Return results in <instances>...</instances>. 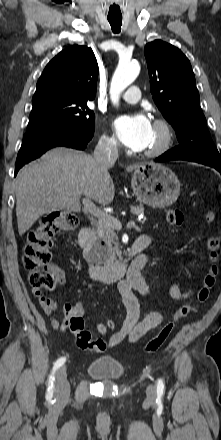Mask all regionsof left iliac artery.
<instances>
[{
    "label": "left iliac artery",
    "mask_w": 221,
    "mask_h": 440,
    "mask_svg": "<svg viewBox=\"0 0 221 440\" xmlns=\"http://www.w3.org/2000/svg\"><path fill=\"white\" fill-rule=\"evenodd\" d=\"M164 392V382L162 379H159L157 382V393L163 394Z\"/></svg>",
    "instance_id": "44dca946"
}]
</instances>
